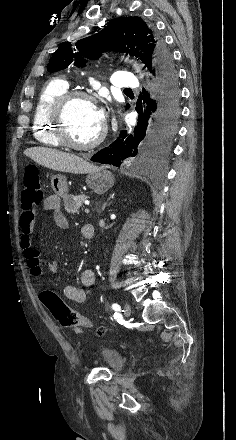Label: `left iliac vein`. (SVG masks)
Returning a JSON list of instances; mask_svg holds the SVG:
<instances>
[{"mask_svg":"<svg viewBox=\"0 0 236 440\" xmlns=\"http://www.w3.org/2000/svg\"><path fill=\"white\" fill-rule=\"evenodd\" d=\"M124 314H125L126 317H130L131 316V306L128 303H126L124 305Z\"/></svg>","mask_w":236,"mask_h":440,"instance_id":"4c4485c4","label":"left iliac vein"}]
</instances>
